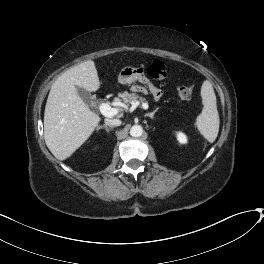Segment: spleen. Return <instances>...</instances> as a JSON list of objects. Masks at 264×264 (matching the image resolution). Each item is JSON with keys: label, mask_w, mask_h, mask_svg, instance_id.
Segmentation results:
<instances>
[{"label": "spleen", "mask_w": 264, "mask_h": 264, "mask_svg": "<svg viewBox=\"0 0 264 264\" xmlns=\"http://www.w3.org/2000/svg\"><path fill=\"white\" fill-rule=\"evenodd\" d=\"M203 109L197 116L195 126L203 137L213 143L219 132V115L216 104V95L212 84L206 80L201 86Z\"/></svg>", "instance_id": "3e777b00"}]
</instances>
